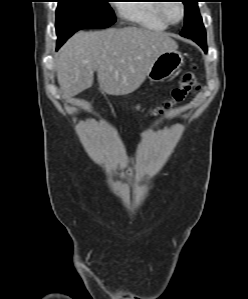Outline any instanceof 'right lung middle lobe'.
<instances>
[{"label": "right lung middle lobe", "mask_w": 248, "mask_h": 299, "mask_svg": "<svg viewBox=\"0 0 248 299\" xmlns=\"http://www.w3.org/2000/svg\"><path fill=\"white\" fill-rule=\"evenodd\" d=\"M109 0H58L56 32L59 48L71 35L83 28H106L116 18Z\"/></svg>", "instance_id": "1"}]
</instances>
